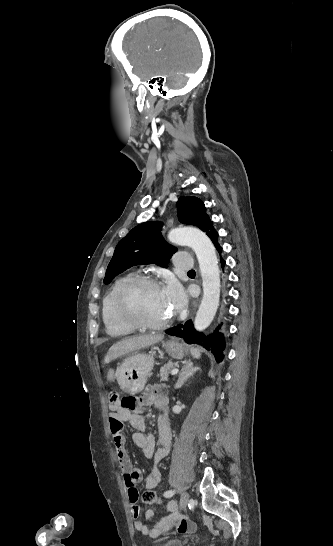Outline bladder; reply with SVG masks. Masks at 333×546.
<instances>
[{"mask_svg":"<svg viewBox=\"0 0 333 546\" xmlns=\"http://www.w3.org/2000/svg\"><path fill=\"white\" fill-rule=\"evenodd\" d=\"M160 546H182V542L178 539H172V540H169L167 542H165L164 544L160 545Z\"/></svg>","mask_w":333,"mask_h":546,"instance_id":"31cf9c89","label":"bladder"}]
</instances>
